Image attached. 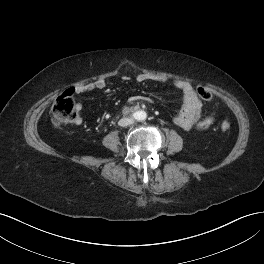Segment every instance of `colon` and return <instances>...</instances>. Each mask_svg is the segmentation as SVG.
I'll list each match as a JSON object with an SVG mask.
<instances>
[{
	"mask_svg": "<svg viewBox=\"0 0 264 264\" xmlns=\"http://www.w3.org/2000/svg\"><path fill=\"white\" fill-rule=\"evenodd\" d=\"M196 93L203 100L210 101L212 99V93L204 87H197ZM77 116L78 111L73 98V91L68 90L61 94L55 101L52 113L53 124L55 126H61L73 122ZM213 123V118L207 117L198 121L195 126L197 129L204 130L211 127ZM230 128L231 124L228 121H223L221 123V129L223 131H228Z\"/></svg>",
	"mask_w": 264,
	"mask_h": 264,
	"instance_id": "colon-1",
	"label": "colon"
}]
</instances>
